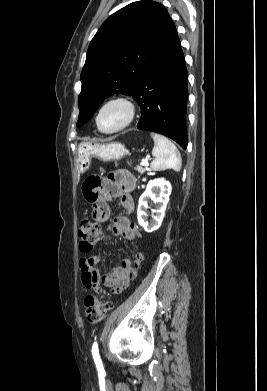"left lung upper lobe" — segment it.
<instances>
[{
	"instance_id": "5c2ea615",
	"label": "left lung upper lobe",
	"mask_w": 267,
	"mask_h": 391,
	"mask_svg": "<svg viewBox=\"0 0 267 391\" xmlns=\"http://www.w3.org/2000/svg\"><path fill=\"white\" fill-rule=\"evenodd\" d=\"M176 34L167 10L154 1L133 2L111 15L88 47L77 126L89 121L109 96L132 95L155 57Z\"/></svg>"
}]
</instances>
